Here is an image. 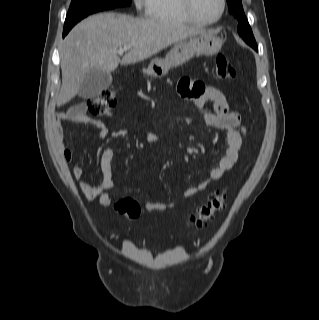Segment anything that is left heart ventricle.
<instances>
[{"instance_id": "b2bd125f", "label": "left heart ventricle", "mask_w": 319, "mask_h": 320, "mask_svg": "<svg viewBox=\"0 0 319 320\" xmlns=\"http://www.w3.org/2000/svg\"><path fill=\"white\" fill-rule=\"evenodd\" d=\"M220 8V0H194L195 12L204 20L215 19L219 15Z\"/></svg>"}]
</instances>
